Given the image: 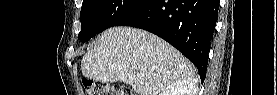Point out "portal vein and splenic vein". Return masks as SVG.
<instances>
[{"label":"portal vein and splenic vein","mask_w":277,"mask_h":95,"mask_svg":"<svg viewBox=\"0 0 277 95\" xmlns=\"http://www.w3.org/2000/svg\"><path fill=\"white\" fill-rule=\"evenodd\" d=\"M137 76H138V77H142L143 74H142V73H138Z\"/></svg>","instance_id":"obj_1"}]
</instances>
